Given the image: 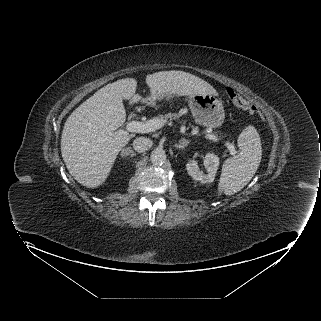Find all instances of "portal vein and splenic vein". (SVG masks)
Returning <instances> with one entry per match:
<instances>
[{"label": "portal vein and splenic vein", "instance_id": "portal-vein-and-splenic-vein-1", "mask_svg": "<svg viewBox=\"0 0 321 321\" xmlns=\"http://www.w3.org/2000/svg\"><path fill=\"white\" fill-rule=\"evenodd\" d=\"M163 125L164 122L158 119H152L146 122L132 121L127 124L126 129L129 132L149 133L161 128ZM205 138L213 141H220V138L214 134H207ZM225 146L230 150L231 154L236 153L235 148L231 143L226 142Z\"/></svg>", "mask_w": 321, "mask_h": 321}]
</instances>
